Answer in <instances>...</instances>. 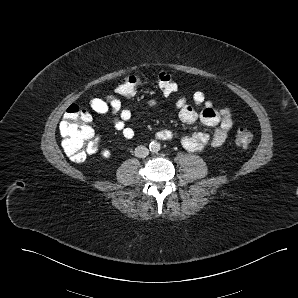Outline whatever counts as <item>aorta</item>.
Wrapping results in <instances>:
<instances>
[{"instance_id":"obj_1","label":"aorta","mask_w":298,"mask_h":298,"mask_svg":"<svg viewBox=\"0 0 298 298\" xmlns=\"http://www.w3.org/2000/svg\"><path fill=\"white\" fill-rule=\"evenodd\" d=\"M160 148H161V146H160L159 142H157V141H152L149 144V149L153 153L159 152Z\"/></svg>"}]
</instances>
